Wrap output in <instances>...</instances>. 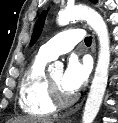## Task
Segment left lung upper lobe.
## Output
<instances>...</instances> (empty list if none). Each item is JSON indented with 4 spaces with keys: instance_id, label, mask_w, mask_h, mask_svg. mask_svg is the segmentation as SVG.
<instances>
[{
    "instance_id": "obj_1",
    "label": "left lung upper lobe",
    "mask_w": 118,
    "mask_h": 123,
    "mask_svg": "<svg viewBox=\"0 0 118 123\" xmlns=\"http://www.w3.org/2000/svg\"><path fill=\"white\" fill-rule=\"evenodd\" d=\"M90 1L93 3L97 2V0H90ZM46 15H47V11L45 10L41 13L38 20L36 21L34 30H33V35H32L31 42H30L31 45H33L37 41V39L42 31Z\"/></svg>"
}]
</instances>
